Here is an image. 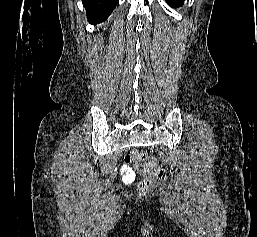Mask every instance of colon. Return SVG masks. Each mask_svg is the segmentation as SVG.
Segmentation results:
<instances>
[{
    "label": "colon",
    "instance_id": "5ec220e1",
    "mask_svg": "<svg viewBox=\"0 0 257 237\" xmlns=\"http://www.w3.org/2000/svg\"><path fill=\"white\" fill-rule=\"evenodd\" d=\"M146 153L141 149H133L127 156L126 161L141 162L145 160ZM139 171L142 175V180L139 183V189L141 191L149 190L156 181H162L166 177L164 169L159 167L155 161H149Z\"/></svg>",
    "mask_w": 257,
    "mask_h": 237
}]
</instances>
